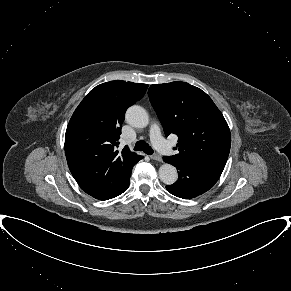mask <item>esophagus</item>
I'll list each match as a JSON object with an SVG mask.
<instances>
[{"mask_svg":"<svg viewBox=\"0 0 291 291\" xmlns=\"http://www.w3.org/2000/svg\"><path fill=\"white\" fill-rule=\"evenodd\" d=\"M151 158H152L153 160H155V161H159V162L162 161V157H161L159 154H153V155L151 156Z\"/></svg>","mask_w":291,"mask_h":291,"instance_id":"obj_1","label":"esophagus"}]
</instances>
